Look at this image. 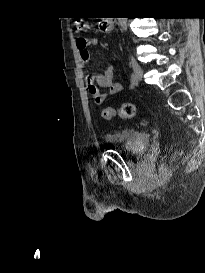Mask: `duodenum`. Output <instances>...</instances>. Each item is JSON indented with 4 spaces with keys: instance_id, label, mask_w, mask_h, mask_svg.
<instances>
[{
    "instance_id": "duodenum-1",
    "label": "duodenum",
    "mask_w": 205,
    "mask_h": 273,
    "mask_svg": "<svg viewBox=\"0 0 205 273\" xmlns=\"http://www.w3.org/2000/svg\"><path fill=\"white\" fill-rule=\"evenodd\" d=\"M112 28V19H106L102 25H101V30L104 31V32H108L110 31Z\"/></svg>"
}]
</instances>
